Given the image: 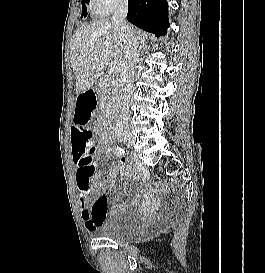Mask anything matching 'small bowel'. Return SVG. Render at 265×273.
<instances>
[{"label":"small bowel","mask_w":265,"mask_h":273,"mask_svg":"<svg viewBox=\"0 0 265 273\" xmlns=\"http://www.w3.org/2000/svg\"><path fill=\"white\" fill-rule=\"evenodd\" d=\"M95 106V99L91 91H84L76 99L75 123L71 128V143L73 162L75 165V182L77 187L78 203L80 207L81 218L89 232H93L108 213L107 198L104 194L100 195L96 201L91 204V197L97 194L99 187L106 188L112 180L128 168V161L125 157H120L119 164L112 165L106 174L95 171L94 162H90L91 153L89 148L91 143L81 137L83 130H86L85 124L91 118ZM104 151L102 147L101 152ZM99 203L98 211L94 205ZM120 207L115 206L113 210Z\"/></svg>","instance_id":"small-bowel-1"}]
</instances>
